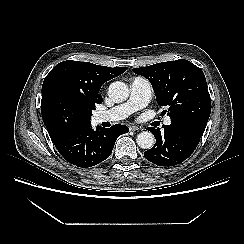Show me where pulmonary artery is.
Returning a JSON list of instances; mask_svg holds the SVG:
<instances>
[{
	"label": "pulmonary artery",
	"instance_id": "pulmonary-artery-1",
	"mask_svg": "<svg viewBox=\"0 0 244 244\" xmlns=\"http://www.w3.org/2000/svg\"><path fill=\"white\" fill-rule=\"evenodd\" d=\"M152 97L151 83L143 77H135L130 84V96L128 100L109 110L96 114V121H118L127 118L133 112L145 107ZM171 119H165L164 124L170 125Z\"/></svg>",
	"mask_w": 244,
	"mask_h": 244
}]
</instances>
